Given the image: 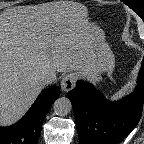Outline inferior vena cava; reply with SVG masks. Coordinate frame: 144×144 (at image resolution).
Masks as SVG:
<instances>
[{
    "instance_id": "inferior-vena-cava-1",
    "label": "inferior vena cava",
    "mask_w": 144,
    "mask_h": 144,
    "mask_svg": "<svg viewBox=\"0 0 144 144\" xmlns=\"http://www.w3.org/2000/svg\"><path fill=\"white\" fill-rule=\"evenodd\" d=\"M57 75L54 72H47L41 77V82L46 85L56 81Z\"/></svg>"
}]
</instances>
